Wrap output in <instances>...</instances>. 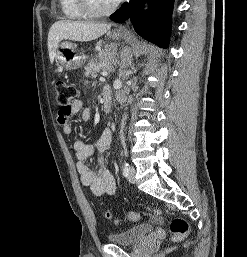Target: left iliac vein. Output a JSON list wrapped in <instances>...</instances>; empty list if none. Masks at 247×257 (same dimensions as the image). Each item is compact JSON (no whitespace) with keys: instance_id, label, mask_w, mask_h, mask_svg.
<instances>
[{"instance_id":"obj_1","label":"left iliac vein","mask_w":247,"mask_h":257,"mask_svg":"<svg viewBox=\"0 0 247 257\" xmlns=\"http://www.w3.org/2000/svg\"><path fill=\"white\" fill-rule=\"evenodd\" d=\"M135 174H136V170L134 167H130L129 169V173L127 175V179L130 183L134 184L136 182V179H135Z\"/></svg>"}]
</instances>
